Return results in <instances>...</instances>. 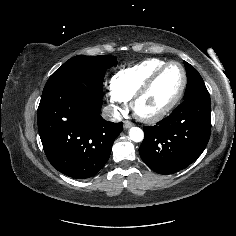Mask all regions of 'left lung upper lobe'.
Here are the masks:
<instances>
[{"label":"left lung upper lobe","mask_w":236,"mask_h":236,"mask_svg":"<svg viewBox=\"0 0 236 236\" xmlns=\"http://www.w3.org/2000/svg\"><path fill=\"white\" fill-rule=\"evenodd\" d=\"M184 65L187 71V79H188L186 91L184 94V99H187L195 94L207 93L208 90L198 71L186 61H184Z\"/></svg>","instance_id":"left-lung-upper-lobe-1"}]
</instances>
